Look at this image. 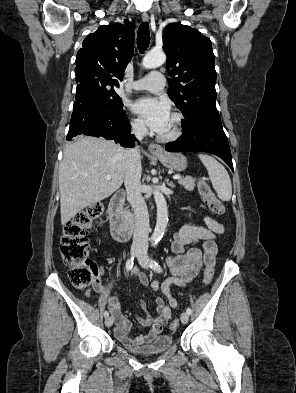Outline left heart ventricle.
<instances>
[{"instance_id":"obj_1","label":"left heart ventricle","mask_w":296,"mask_h":393,"mask_svg":"<svg viewBox=\"0 0 296 393\" xmlns=\"http://www.w3.org/2000/svg\"><path fill=\"white\" fill-rule=\"evenodd\" d=\"M175 122L172 116H170L168 123L164 127V129L159 133L161 135L169 134L174 128Z\"/></svg>"}]
</instances>
